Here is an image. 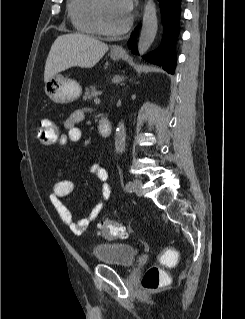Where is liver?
<instances>
[{
	"label": "liver",
	"mask_w": 245,
	"mask_h": 319,
	"mask_svg": "<svg viewBox=\"0 0 245 319\" xmlns=\"http://www.w3.org/2000/svg\"><path fill=\"white\" fill-rule=\"evenodd\" d=\"M108 51V45L85 34L70 33L57 37L48 54L44 81L71 67L92 68Z\"/></svg>",
	"instance_id": "obj_1"
}]
</instances>
